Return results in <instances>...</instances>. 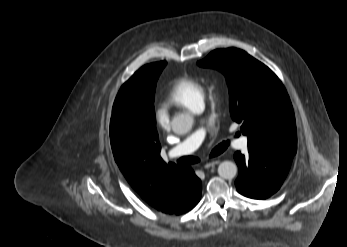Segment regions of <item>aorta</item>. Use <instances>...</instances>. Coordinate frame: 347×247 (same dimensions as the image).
<instances>
[{"mask_svg": "<svg viewBox=\"0 0 347 247\" xmlns=\"http://www.w3.org/2000/svg\"><path fill=\"white\" fill-rule=\"evenodd\" d=\"M194 119L188 113H181L172 119V130L176 134H186L193 126ZM218 174L224 179H233L237 174V165L232 161H223L218 166Z\"/></svg>", "mask_w": 347, "mask_h": 247, "instance_id": "1", "label": "aorta"}]
</instances>
